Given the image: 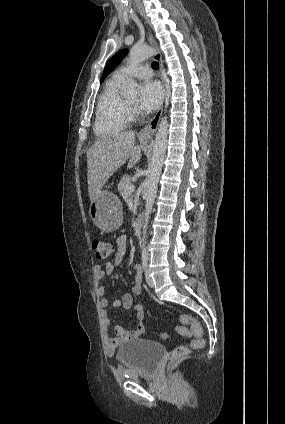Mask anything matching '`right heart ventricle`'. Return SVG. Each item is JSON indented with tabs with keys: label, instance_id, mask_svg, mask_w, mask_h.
I'll return each instance as SVG.
<instances>
[{
	"label": "right heart ventricle",
	"instance_id": "right-heart-ventricle-1",
	"mask_svg": "<svg viewBox=\"0 0 285 424\" xmlns=\"http://www.w3.org/2000/svg\"><path fill=\"white\" fill-rule=\"evenodd\" d=\"M123 83V78L113 75L99 96L94 124V130L98 136L117 134L128 126L126 100L120 94Z\"/></svg>",
	"mask_w": 285,
	"mask_h": 424
}]
</instances>
